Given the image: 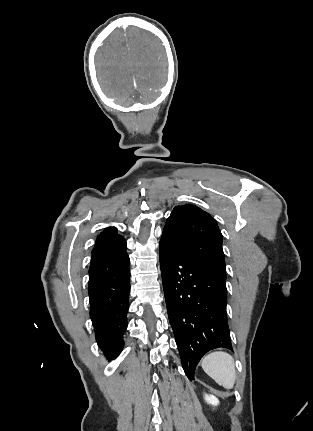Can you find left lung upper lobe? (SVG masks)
I'll return each mask as SVG.
<instances>
[{
	"label": "left lung upper lobe",
	"mask_w": 313,
	"mask_h": 431,
	"mask_svg": "<svg viewBox=\"0 0 313 431\" xmlns=\"http://www.w3.org/2000/svg\"><path fill=\"white\" fill-rule=\"evenodd\" d=\"M162 237L184 255L226 278L222 234L209 213L191 204L176 206L166 221Z\"/></svg>",
	"instance_id": "obj_1"
}]
</instances>
